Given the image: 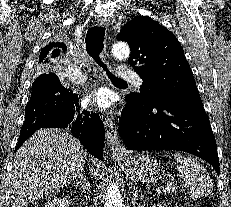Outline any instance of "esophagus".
Returning <instances> with one entry per match:
<instances>
[{
  "label": "esophagus",
  "instance_id": "obj_1",
  "mask_svg": "<svg viewBox=\"0 0 231 207\" xmlns=\"http://www.w3.org/2000/svg\"><path fill=\"white\" fill-rule=\"evenodd\" d=\"M97 24L107 28L109 27L110 21L107 18L98 17ZM104 124L106 141L111 152L113 154L123 153L125 151V148L119 140V136L113 118L108 116L105 117Z\"/></svg>",
  "mask_w": 231,
  "mask_h": 207
}]
</instances>
